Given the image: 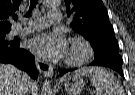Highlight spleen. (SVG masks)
<instances>
[{
    "mask_svg": "<svg viewBox=\"0 0 135 95\" xmlns=\"http://www.w3.org/2000/svg\"><path fill=\"white\" fill-rule=\"evenodd\" d=\"M76 74L90 79L96 95H125L119 80L104 68L84 67L77 70Z\"/></svg>",
    "mask_w": 135,
    "mask_h": 95,
    "instance_id": "obj_1",
    "label": "spleen"
}]
</instances>
